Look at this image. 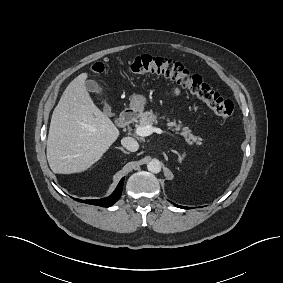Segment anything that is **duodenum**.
<instances>
[{"label":"duodenum","instance_id":"obj_1","mask_svg":"<svg viewBox=\"0 0 283 283\" xmlns=\"http://www.w3.org/2000/svg\"><path fill=\"white\" fill-rule=\"evenodd\" d=\"M137 117V111L135 109H127L123 111L116 120V124L119 127H125L132 123Z\"/></svg>","mask_w":283,"mask_h":283}]
</instances>
